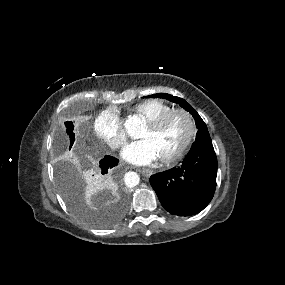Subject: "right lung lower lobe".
<instances>
[{"label": "right lung lower lobe", "mask_w": 285, "mask_h": 285, "mask_svg": "<svg viewBox=\"0 0 285 285\" xmlns=\"http://www.w3.org/2000/svg\"><path fill=\"white\" fill-rule=\"evenodd\" d=\"M118 165V159H116L113 156H105L100 162H99V178L101 181L103 180H107L108 177L111 174V171L113 170V168ZM121 203L124 204L125 203V198L122 197L121 199Z\"/></svg>", "instance_id": "obj_1"}]
</instances>
